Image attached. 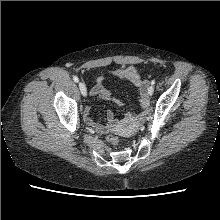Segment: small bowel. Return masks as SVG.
Instances as JSON below:
<instances>
[{
    "label": "small bowel",
    "mask_w": 220,
    "mask_h": 220,
    "mask_svg": "<svg viewBox=\"0 0 220 220\" xmlns=\"http://www.w3.org/2000/svg\"><path fill=\"white\" fill-rule=\"evenodd\" d=\"M109 75L131 82L137 89L141 106L146 107L148 105L147 88L149 83L141 77L140 72L136 67L129 66L116 69L111 71ZM105 81V76H100L97 78V84L94 88L91 89L90 97L112 100L116 105L120 107L124 106V103L116 98L112 91L105 85ZM83 117L85 123L93 127L96 131L100 133H104L106 131V125L99 124L92 119L89 106L84 108ZM109 118H112V113H109Z\"/></svg>",
    "instance_id": "obj_1"
}]
</instances>
